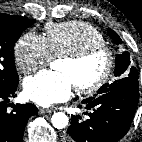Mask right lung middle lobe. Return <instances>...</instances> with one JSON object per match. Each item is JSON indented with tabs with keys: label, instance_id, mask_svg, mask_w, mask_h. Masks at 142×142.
<instances>
[{
	"label": "right lung middle lobe",
	"instance_id": "dd1d6c3e",
	"mask_svg": "<svg viewBox=\"0 0 142 142\" xmlns=\"http://www.w3.org/2000/svg\"><path fill=\"white\" fill-rule=\"evenodd\" d=\"M34 21L20 16L0 14V89L19 81L14 61V46L21 33Z\"/></svg>",
	"mask_w": 142,
	"mask_h": 142
}]
</instances>
